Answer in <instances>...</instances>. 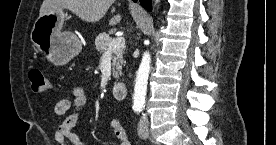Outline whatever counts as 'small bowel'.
Wrapping results in <instances>:
<instances>
[{
  "instance_id": "obj_1",
  "label": "small bowel",
  "mask_w": 276,
  "mask_h": 145,
  "mask_svg": "<svg viewBox=\"0 0 276 145\" xmlns=\"http://www.w3.org/2000/svg\"><path fill=\"white\" fill-rule=\"evenodd\" d=\"M72 100L62 99L58 101L54 107L55 114L63 118L71 106H74V111L59 123L54 137L60 145H83L80 138L72 129L78 123L81 109L87 103V93L83 88L76 87L72 90ZM109 127L112 130L118 145H131L128 134L121 124L118 117L109 119Z\"/></svg>"
}]
</instances>
